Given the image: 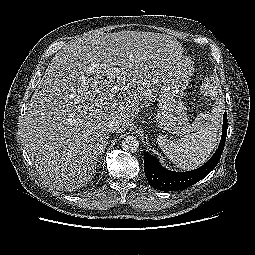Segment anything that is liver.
<instances>
[{"label":"liver","instance_id":"1","mask_svg":"<svg viewBox=\"0 0 255 255\" xmlns=\"http://www.w3.org/2000/svg\"><path fill=\"white\" fill-rule=\"evenodd\" d=\"M183 53L175 38L141 31L89 33L58 51L24 121L25 149L43 181L65 191L86 185L108 143V122L127 130ZM114 66L119 76L107 71Z\"/></svg>","mask_w":255,"mask_h":255}]
</instances>
